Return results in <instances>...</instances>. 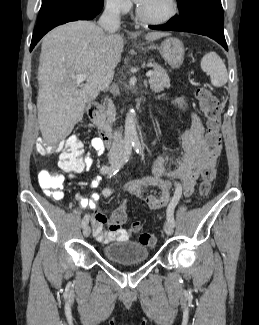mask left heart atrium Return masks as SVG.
<instances>
[{"mask_svg": "<svg viewBox=\"0 0 259 325\" xmlns=\"http://www.w3.org/2000/svg\"><path fill=\"white\" fill-rule=\"evenodd\" d=\"M136 1L139 5L145 4L148 0H134Z\"/></svg>", "mask_w": 259, "mask_h": 325, "instance_id": "obj_1", "label": "left heart atrium"}]
</instances>
